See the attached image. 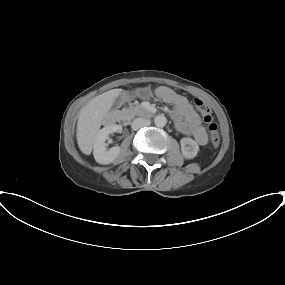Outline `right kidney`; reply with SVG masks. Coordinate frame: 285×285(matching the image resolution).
Here are the masks:
<instances>
[{
    "label": "right kidney",
    "instance_id": "ca27d5eb",
    "mask_svg": "<svg viewBox=\"0 0 285 285\" xmlns=\"http://www.w3.org/2000/svg\"><path fill=\"white\" fill-rule=\"evenodd\" d=\"M121 131L122 126L114 124L107 125L98 132L93 146V155L97 163L107 165L114 162L119 157L121 151L120 147L114 146L107 149L105 141L108 139L110 133Z\"/></svg>",
    "mask_w": 285,
    "mask_h": 285
}]
</instances>
